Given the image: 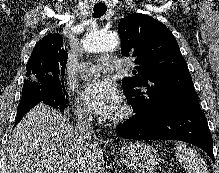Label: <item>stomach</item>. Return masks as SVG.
I'll use <instances>...</instances> for the list:
<instances>
[{"label":"stomach","mask_w":219,"mask_h":173,"mask_svg":"<svg viewBox=\"0 0 219 173\" xmlns=\"http://www.w3.org/2000/svg\"><path fill=\"white\" fill-rule=\"evenodd\" d=\"M118 153L125 166L134 173H154L159 166L157 150L144 142L124 145Z\"/></svg>","instance_id":"1"}]
</instances>
